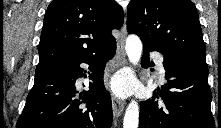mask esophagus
<instances>
[{
    "label": "esophagus",
    "instance_id": "obj_1",
    "mask_svg": "<svg viewBox=\"0 0 221 128\" xmlns=\"http://www.w3.org/2000/svg\"><path fill=\"white\" fill-rule=\"evenodd\" d=\"M127 37L126 32V25L125 22L120 30L119 37L117 39V51H116V61L118 65H124L127 62L126 53H125V41ZM112 107H113V114L115 117H119L125 107V102L116 98L115 96L112 97Z\"/></svg>",
    "mask_w": 221,
    "mask_h": 128
}]
</instances>
